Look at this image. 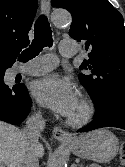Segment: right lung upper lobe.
<instances>
[{
    "mask_svg": "<svg viewBox=\"0 0 125 167\" xmlns=\"http://www.w3.org/2000/svg\"><path fill=\"white\" fill-rule=\"evenodd\" d=\"M37 8V0H0V72L11 67L28 46Z\"/></svg>",
    "mask_w": 125,
    "mask_h": 167,
    "instance_id": "obj_1",
    "label": "right lung upper lobe"
}]
</instances>
